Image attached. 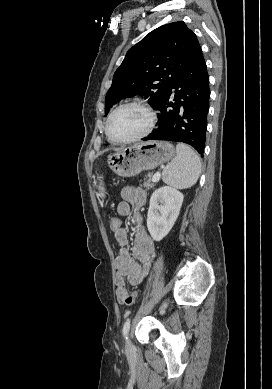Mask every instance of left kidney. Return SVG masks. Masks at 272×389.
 I'll return each mask as SVG.
<instances>
[{"label":"left kidney","mask_w":272,"mask_h":389,"mask_svg":"<svg viewBox=\"0 0 272 389\" xmlns=\"http://www.w3.org/2000/svg\"><path fill=\"white\" fill-rule=\"evenodd\" d=\"M184 195L170 186L156 189L150 198L147 227L155 241L162 240L178 218Z\"/></svg>","instance_id":"5707ae66"}]
</instances>
